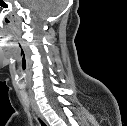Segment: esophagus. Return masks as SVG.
<instances>
[{
  "label": "esophagus",
  "mask_w": 127,
  "mask_h": 126,
  "mask_svg": "<svg viewBox=\"0 0 127 126\" xmlns=\"http://www.w3.org/2000/svg\"><path fill=\"white\" fill-rule=\"evenodd\" d=\"M30 102H31L32 108L34 109V111L36 112V114L38 115V117H39L43 122H45L44 117H43V115H42V113H41V111H40V109H39V107H38L36 101H35L34 98L32 97V95H31V97H30Z\"/></svg>",
  "instance_id": "1"
}]
</instances>
